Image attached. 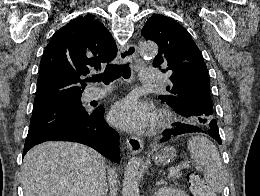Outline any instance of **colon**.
<instances>
[{
    "mask_svg": "<svg viewBox=\"0 0 260 196\" xmlns=\"http://www.w3.org/2000/svg\"><path fill=\"white\" fill-rule=\"evenodd\" d=\"M201 181L194 179L192 181L189 182V186H190V191L191 192H195L197 190V188L200 186Z\"/></svg>",
    "mask_w": 260,
    "mask_h": 196,
    "instance_id": "colon-1",
    "label": "colon"
}]
</instances>
